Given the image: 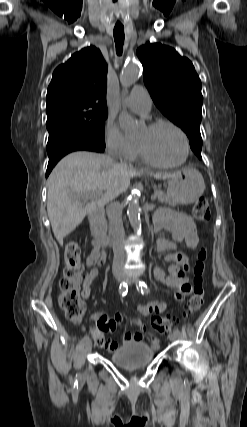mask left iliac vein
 Returning <instances> with one entry per match:
<instances>
[{"label":"left iliac vein","instance_id":"left-iliac-vein-1","mask_svg":"<svg viewBox=\"0 0 247 427\" xmlns=\"http://www.w3.org/2000/svg\"><path fill=\"white\" fill-rule=\"evenodd\" d=\"M126 281H127V283H128L129 285H132V281H131V280L126 279ZM178 336H179V335H178L177 333L172 332L171 334H169L168 338H169V340L174 341V340H176V339L178 338Z\"/></svg>","mask_w":247,"mask_h":427}]
</instances>
